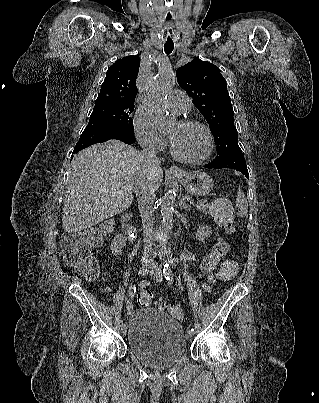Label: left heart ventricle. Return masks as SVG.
Instances as JSON below:
<instances>
[{"mask_svg": "<svg viewBox=\"0 0 319 403\" xmlns=\"http://www.w3.org/2000/svg\"><path fill=\"white\" fill-rule=\"evenodd\" d=\"M167 135L175 151L185 158H200L207 150V136L198 126H186L176 121L168 128Z\"/></svg>", "mask_w": 319, "mask_h": 403, "instance_id": "b2bd125f", "label": "left heart ventricle"}]
</instances>
